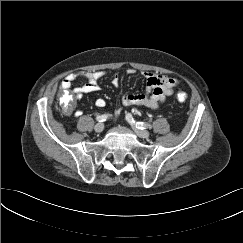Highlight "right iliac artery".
Returning a JSON list of instances; mask_svg holds the SVG:
<instances>
[{
  "label": "right iliac artery",
  "instance_id": "obj_1",
  "mask_svg": "<svg viewBox=\"0 0 243 243\" xmlns=\"http://www.w3.org/2000/svg\"><path fill=\"white\" fill-rule=\"evenodd\" d=\"M107 118H108V115L104 114V115H101V116H97V117H96V120H97L98 122H104V121L107 120Z\"/></svg>",
  "mask_w": 243,
  "mask_h": 243
}]
</instances>
